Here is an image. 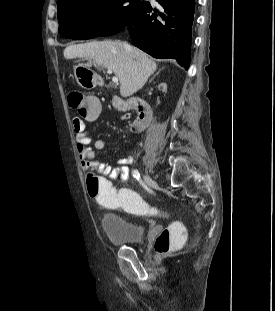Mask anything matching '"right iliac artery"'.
<instances>
[{
    "label": "right iliac artery",
    "instance_id": "1",
    "mask_svg": "<svg viewBox=\"0 0 275 311\" xmlns=\"http://www.w3.org/2000/svg\"><path fill=\"white\" fill-rule=\"evenodd\" d=\"M132 175H133V177L136 178L137 180L140 179V173H139V171H138L137 169H134V170L132 171ZM143 185H144V183H143Z\"/></svg>",
    "mask_w": 275,
    "mask_h": 311
}]
</instances>
